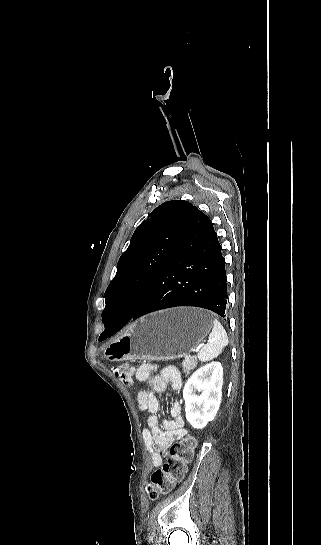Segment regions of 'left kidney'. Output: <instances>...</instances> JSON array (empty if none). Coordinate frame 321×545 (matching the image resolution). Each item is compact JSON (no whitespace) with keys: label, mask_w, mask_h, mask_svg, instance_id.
Here are the masks:
<instances>
[{"label":"left kidney","mask_w":321,"mask_h":545,"mask_svg":"<svg viewBox=\"0 0 321 545\" xmlns=\"http://www.w3.org/2000/svg\"><path fill=\"white\" fill-rule=\"evenodd\" d=\"M223 385L221 363H209L193 373L183 389L185 415L194 429H204L215 419L220 407ZM197 391L201 395H196Z\"/></svg>","instance_id":"1"}]
</instances>
